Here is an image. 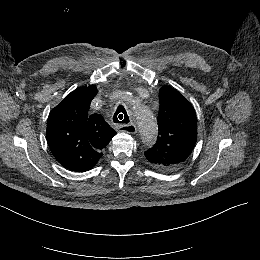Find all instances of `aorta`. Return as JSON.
Segmentation results:
<instances>
[{"label":"aorta","instance_id":"obj_1","mask_svg":"<svg viewBox=\"0 0 260 260\" xmlns=\"http://www.w3.org/2000/svg\"><path fill=\"white\" fill-rule=\"evenodd\" d=\"M134 115L137 120V125L143 142L151 146L155 143L158 126L152 112L142 105L134 106Z\"/></svg>","mask_w":260,"mask_h":260}]
</instances>
